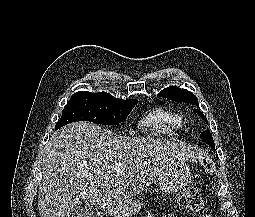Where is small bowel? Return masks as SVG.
Returning a JSON list of instances; mask_svg holds the SVG:
<instances>
[{
    "label": "small bowel",
    "mask_w": 255,
    "mask_h": 217,
    "mask_svg": "<svg viewBox=\"0 0 255 217\" xmlns=\"http://www.w3.org/2000/svg\"><path fill=\"white\" fill-rule=\"evenodd\" d=\"M147 217H153V215H152V214H148ZM201 217H212V215H211V214H208V213H205V214H203Z\"/></svg>",
    "instance_id": "small-bowel-1"
}]
</instances>
